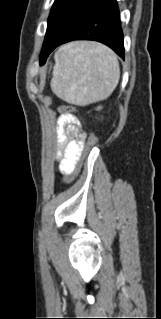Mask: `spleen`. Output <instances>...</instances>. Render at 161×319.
<instances>
[{"label": "spleen", "instance_id": "1", "mask_svg": "<svg viewBox=\"0 0 161 319\" xmlns=\"http://www.w3.org/2000/svg\"><path fill=\"white\" fill-rule=\"evenodd\" d=\"M120 68L108 47L94 42L63 45L55 54L51 89L67 103L85 106L110 96Z\"/></svg>", "mask_w": 161, "mask_h": 319}]
</instances>
